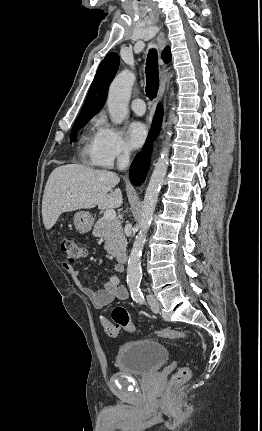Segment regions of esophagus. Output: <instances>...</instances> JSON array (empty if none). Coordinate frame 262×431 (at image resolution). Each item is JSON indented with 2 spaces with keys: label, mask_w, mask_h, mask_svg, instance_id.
Returning <instances> with one entry per match:
<instances>
[{
  "label": "esophagus",
  "mask_w": 262,
  "mask_h": 431,
  "mask_svg": "<svg viewBox=\"0 0 262 431\" xmlns=\"http://www.w3.org/2000/svg\"><path fill=\"white\" fill-rule=\"evenodd\" d=\"M167 72V67L166 65L163 66L162 68V72H161V76H160V87H159V92H158V100H161L164 91H165V74Z\"/></svg>",
  "instance_id": "1"
}]
</instances>
